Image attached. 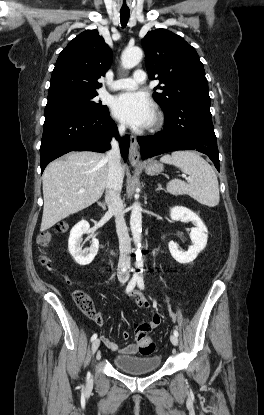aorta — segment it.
<instances>
[{
    "instance_id": "aorta-1",
    "label": "aorta",
    "mask_w": 264,
    "mask_h": 415,
    "mask_svg": "<svg viewBox=\"0 0 264 415\" xmlns=\"http://www.w3.org/2000/svg\"><path fill=\"white\" fill-rule=\"evenodd\" d=\"M143 52L138 47L127 48L121 56L122 66L125 69H131L136 66L142 59ZM142 207L139 202H135L131 207L130 228L133 236L134 244L137 248L136 265L143 266V258L140 253L141 248V232H142Z\"/></svg>"
}]
</instances>
